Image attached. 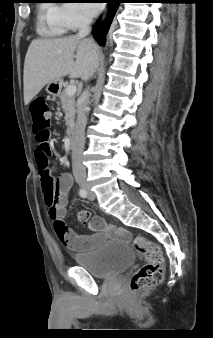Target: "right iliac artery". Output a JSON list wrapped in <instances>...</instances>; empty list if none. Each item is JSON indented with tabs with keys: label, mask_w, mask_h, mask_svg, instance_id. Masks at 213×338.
I'll return each instance as SVG.
<instances>
[{
	"label": "right iliac artery",
	"mask_w": 213,
	"mask_h": 338,
	"mask_svg": "<svg viewBox=\"0 0 213 338\" xmlns=\"http://www.w3.org/2000/svg\"><path fill=\"white\" fill-rule=\"evenodd\" d=\"M79 195H80V197H82V198H86V197H87V192H86V190H84L83 188H80V189H79Z\"/></svg>",
	"instance_id": "1"
}]
</instances>
